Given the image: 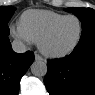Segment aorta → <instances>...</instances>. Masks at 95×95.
Listing matches in <instances>:
<instances>
[{
  "instance_id": "1",
  "label": "aorta",
  "mask_w": 95,
  "mask_h": 95,
  "mask_svg": "<svg viewBox=\"0 0 95 95\" xmlns=\"http://www.w3.org/2000/svg\"><path fill=\"white\" fill-rule=\"evenodd\" d=\"M31 72L36 77H43L47 73V64L43 60H36L30 66Z\"/></svg>"
}]
</instances>
